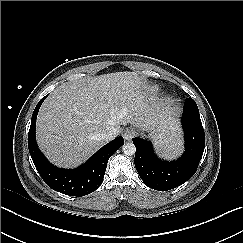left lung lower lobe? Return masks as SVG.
Returning a JSON list of instances; mask_svg holds the SVG:
<instances>
[{"label": "left lung lower lobe", "instance_id": "left-lung-lower-lobe-1", "mask_svg": "<svg viewBox=\"0 0 243 243\" xmlns=\"http://www.w3.org/2000/svg\"><path fill=\"white\" fill-rule=\"evenodd\" d=\"M185 152L176 161L159 159L150 141L133 138L136 147L135 167L148 187L167 191L189 180L197 170L205 147V133L196 102L186 99L182 116Z\"/></svg>", "mask_w": 243, "mask_h": 243}]
</instances>
